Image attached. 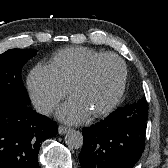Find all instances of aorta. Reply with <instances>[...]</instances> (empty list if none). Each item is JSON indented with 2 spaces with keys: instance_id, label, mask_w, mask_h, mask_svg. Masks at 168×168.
<instances>
[{
  "instance_id": "762f6f07",
  "label": "aorta",
  "mask_w": 168,
  "mask_h": 168,
  "mask_svg": "<svg viewBox=\"0 0 168 168\" xmlns=\"http://www.w3.org/2000/svg\"><path fill=\"white\" fill-rule=\"evenodd\" d=\"M65 143L70 149H78L83 145V135L80 131L70 130L66 133Z\"/></svg>"
}]
</instances>
